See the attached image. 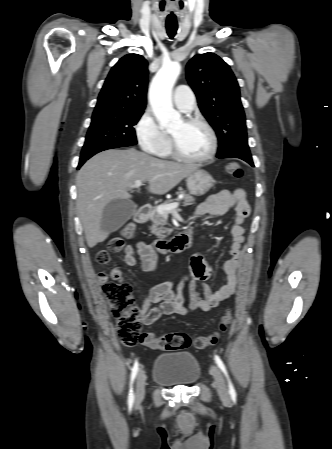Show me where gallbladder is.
<instances>
[{
    "label": "gallbladder",
    "instance_id": "gallbladder-1",
    "mask_svg": "<svg viewBox=\"0 0 332 449\" xmlns=\"http://www.w3.org/2000/svg\"><path fill=\"white\" fill-rule=\"evenodd\" d=\"M136 204L129 199H114L102 213L101 228L114 232L120 229L135 213Z\"/></svg>",
    "mask_w": 332,
    "mask_h": 449
}]
</instances>
